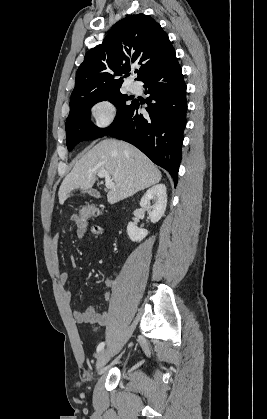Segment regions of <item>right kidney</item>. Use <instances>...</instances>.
Segmentation results:
<instances>
[{"instance_id":"ca27d5eb","label":"right kidney","mask_w":267,"mask_h":419,"mask_svg":"<svg viewBox=\"0 0 267 419\" xmlns=\"http://www.w3.org/2000/svg\"><path fill=\"white\" fill-rule=\"evenodd\" d=\"M154 200V206H150V201ZM140 206L147 210L151 222H158L164 215L167 206V193L164 184H157L144 194L141 198ZM127 234L133 242H140L147 235L148 231L140 229L136 224L129 222L127 225Z\"/></svg>"}]
</instances>
